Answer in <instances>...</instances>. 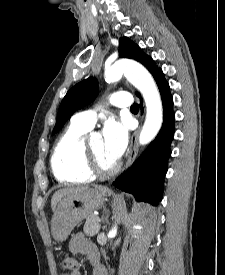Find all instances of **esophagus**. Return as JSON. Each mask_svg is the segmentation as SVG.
<instances>
[{
    "instance_id": "1",
    "label": "esophagus",
    "mask_w": 225,
    "mask_h": 275,
    "mask_svg": "<svg viewBox=\"0 0 225 275\" xmlns=\"http://www.w3.org/2000/svg\"><path fill=\"white\" fill-rule=\"evenodd\" d=\"M139 132H140V128L134 132V134L131 138L129 156H128L127 163L125 166L126 168H128L132 165V163L134 162V160L137 156Z\"/></svg>"
}]
</instances>
